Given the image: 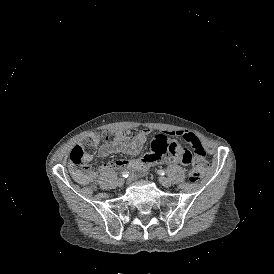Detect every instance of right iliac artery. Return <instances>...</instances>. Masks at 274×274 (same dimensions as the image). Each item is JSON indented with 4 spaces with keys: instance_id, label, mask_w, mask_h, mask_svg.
<instances>
[{
    "instance_id": "right-iliac-artery-1",
    "label": "right iliac artery",
    "mask_w": 274,
    "mask_h": 274,
    "mask_svg": "<svg viewBox=\"0 0 274 274\" xmlns=\"http://www.w3.org/2000/svg\"><path fill=\"white\" fill-rule=\"evenodd\" d=\"M122 176L123 177H125V178H127L128 176H129V171H124L123 173H122Z\"/></svg>"
}]
</instances>
